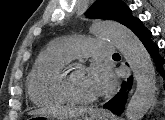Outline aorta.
I'll return each mask as SVG.
<instances>
[{
    "instance_id": "762f6f07",
    "label": "aorta",
    "mask_w": 165,
    "mask_h": 120,
    "mask_svg": "<svg viewBox=\"0 0 165 120\" xmlns=\"http://www.w3.org/2000/svg\"><path fill=\"white\" fill-rule=\"evenodd\" d=\"M92 31L98 37L113 41L129 63L137 87L126 108V116L129 120H140L150 108L156 90L155 70L149 53L134 33L118 22L96 21Z\"/></svg>"
}]
</instances>
